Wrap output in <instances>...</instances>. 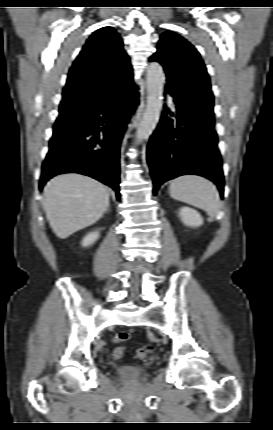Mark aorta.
I'll use <instances>...</instances> for the list:
<instances>
[{
	"label": "aorta",
	"instance_id": "aorta-1",
	"mask_svg": "<svg viewBox=\"0 0 273 430\" xmlns=\"http://www.w3.org/2000/svg\"><path fill=\"white\" fill-rule=\"evenodd\" d=\"M165 74L158 63H151L147 69V104L136 134V143L148 139L159 122L162 110V92Z\"/></svg>",
	"mask_w": 273,
	"mask_h": 430
}]
</instances>
